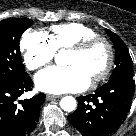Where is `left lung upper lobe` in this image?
<instances>
[{"label":"left lung upper lobe","instance_id":"obj_1","mask_svg":"<svg viewBox=\"0 0 136 136\" xmlns=\"http://www.w3.org/2000/svg\"><path fill=\"white\" fill-rule=\"evenodd\" d=\"M115 47V69L108 82L121 79H133V62L129 51L122 39L112 31L106 29Z\"/></svg>","mask_w":136,"mask_h":136}]
</instances>
